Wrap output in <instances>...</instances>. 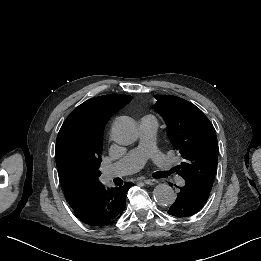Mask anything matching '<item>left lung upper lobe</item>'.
<instances>
[{"instance_id": "1", "label": "left lung upper lobe", "mask_w": 261, "mask_h": 261, "mask_svg": "<svg viewBox=\"0 0 261 261\" xmlns=\"http://www.w3.org/2000/svg\"><path fill=\"white\" fill-rule=\"evenodd\" d=\"M155 108L167 124L173 147L184 159L178 174L201 180L212 187L219 147L215 129L204 113L192 103L171 95H155Z\"/></svg>"}]
</instances>
